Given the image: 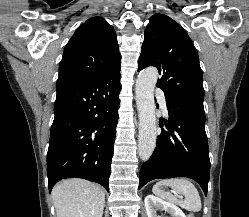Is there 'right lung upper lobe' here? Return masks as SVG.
Wrapping results in <instances>:
<instances>
[{
    "instance_id": "obj_1",
    "label": "right lung upper lobe",
    "mask_w": 249,
    "mask_h": 217,
    "mask_svg": "<svg viewBox=\"0 0 249 217\" xmlns=\"http://www.w3.org/2000/svg\"><path fill=\"white\" fill-rule=\"evenodd\" d=\"M120 59L113 26L102 17H92L77 28L67 43L57 81L102 77L119 69Z\"/></svg>"
}]
</instances>
